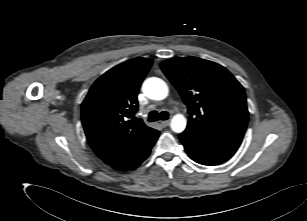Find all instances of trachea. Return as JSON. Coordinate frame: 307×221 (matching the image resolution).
I'll return each instance as SVG.
<instances>
[{
    "mask_svg": "<svg viewBox=\"0 0 307 221\" xmlns=\"http://www.w3.org/2000/svg\"><path fill=\"white\" fill-rule=\"evenodd\" d=\"M168 117H169V114L166 111H162L160 113H158L157 111H151L148 115V121L155 122V121H158L159 119L167 120Z\"/></svg>",
    "mask_w": 307,
    "mask_h": 221,
    "instance_id": "obj_1",
    "label": "trachea"
}]
</instances>
